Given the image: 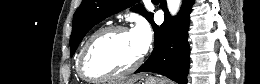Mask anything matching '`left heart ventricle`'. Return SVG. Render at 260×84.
<instances>
[{
    "label": "left heart ventricle",
    "mask_w": 260,
    "mask_h": 84,
    "mask_svg": "<svg viewBox=\"0 0 260 84\" xmlns=\"http://www.w3.org/2000/svg\"><path fill=\"white\" fill-rule=\"evenodd\" d=\"M140 55L131 33H108L96 41L87 66L97 76L116 73L130 67Z\"/></svg>",
    "instance_id": "obj_1"
}]
</instances>
